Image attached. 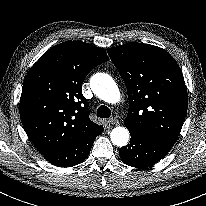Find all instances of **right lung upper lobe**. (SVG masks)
<instances>
[{
  "instance_id": "1",
  "label": "right lung upper lobe",
  "mask_w": 206,
  "mask_h": 206,
  "mask_svg": "<svg viewBox=\"0 0 206 206\" xmlns=\"http://www.w3.org/2000/svg\"><path fill=\"white\" fill-rule=\"evenodd\" d=\"M108 61L102 48L68 41L46 51L31 67L20 98V118L42 155L66 149L102 128L89 118L82 83Z\"/></svg>"
}]
</instances>
